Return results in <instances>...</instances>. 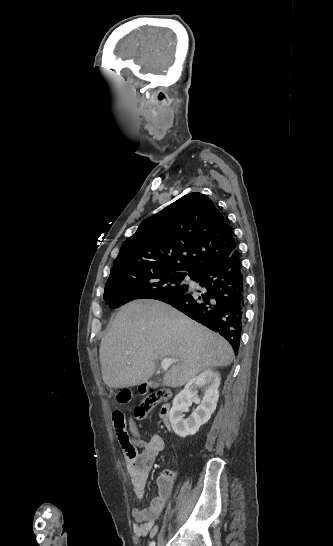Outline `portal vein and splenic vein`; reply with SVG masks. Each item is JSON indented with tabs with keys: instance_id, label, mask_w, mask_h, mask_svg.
Returning a JSON list of instances; mask_svg holds the SVG:
<instances>
[{
	"instance_id": "portal-vein-and-splenic-vein-1",
	"label": "portal vein and splenic vein",
	"mask_w": 333,
	"mask_h": 546,
	"mask_svg": "<svg viewBox=\"0 0 333 546\" xmlns=\"http://www.w3.org/2000/svg\"><path fill=\"white\" fill-rule=\"evenodd\" d=\"M173 362H179V360L173 358H164L160 364V368L166 371Z\"/></svg>"
}]
</instances>
